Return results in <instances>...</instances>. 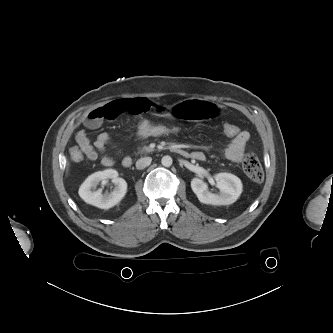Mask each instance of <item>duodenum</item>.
I'll list each match as a JSON object with an SVG mask.
<instances>
[{
  "label": "duodenum",
  "mask_w": 333,
  "mask_h": 333,
  "mask_svg": "<svg viewBox=\"0 0 333 333\" xmlns=\"http://www.w3.org/2000/svg\"><path fill=\"white\" fill-rule=\"evenodd\" d=\"M174 151L182 154V155H185V152L181 149H178V148H174ZM122 165L123 167L125 168H128L132 165V159L130 157H125L123 160H122Z\"/></svg>",
  "instance_id": "duodenum-1"
}]
</instances>
